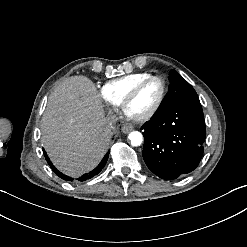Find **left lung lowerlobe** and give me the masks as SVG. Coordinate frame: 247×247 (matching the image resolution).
Masks as SVG:
<instances>
[{
  "mask_svg": "<svg viewBox=\"0 0 247 247\" xmlns=\"http://www.w3.org/2000/svg\"><path fill=\"white\" fill-rule=\"evenodd\" d=\"M141 129L143 159L158 177L173 180L198 166L206 133L200 102L170 105L156 112Z\"/></svg>",
  "mask_w": 247,
  "mask_h": 247,
  "instance_id": "left-lung-lower-lobe-1",
  "label": "left lung lower lobe"
}]
</instances>
